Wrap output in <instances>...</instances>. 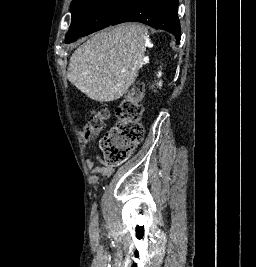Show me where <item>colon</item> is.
<instances>
[{"mask_svg":"<svg viewBox=\"0 0 256 267\" xmlns=\"http://www.w3.org/2000/svg\"><path fill=\"white\" fill-rule=\"evenodd\" d=\"M142 98L143 86L136 85L119 102L117 125L100 142L105 160L109 164H120L126 161L141 141L143 130L139 120L144 111ZM109 115L108 109L92 110L84 129L85 138L91 139L101 133L106 127Z\"/></svg>","mask_w":256,"mask_h":267,"instance_id":"colon-1","label":"colon"}]
</instances>
